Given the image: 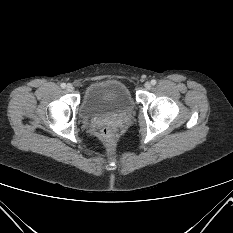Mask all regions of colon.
I'll use <instances>...</instances> for the list:
<instances>
[{
  "mask_svg": "<svg viewBox=\"0 0 233 233\" xmlns=\"http://www.w3.org/2000/svg\"><path fill=\"white\" fill-rule=\"evenodd\" d=\"M99 134L103 139L110 140L114 137L115 130L112 126L107 125L101 128Z\"/></svg>",
  "mask_w": 233,
  "mask_h": 233,
  "instance_id": "1",
  "label": "colon"
}]
</instances>
